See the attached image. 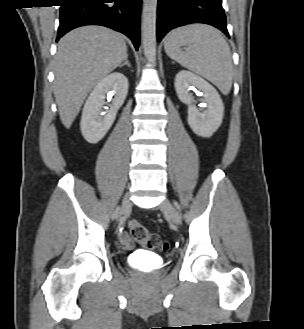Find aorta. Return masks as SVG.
<instances>
[{
  "mask_svg": "<svg viewBox=\"0 0 304 329\" xmlns=\"http://www.w3.org/2000/svg\"><path fill=\"white\" fill-rule=\"evenodd\" d=\"M158 0H144L142 11V46L148 63L156 61V17Z\"/></svg>",
  "mask_w": 304,
  "mask_h": 329,
  "instance_id": "obj_1",
  "label": "aorta"
}]
</instances>
